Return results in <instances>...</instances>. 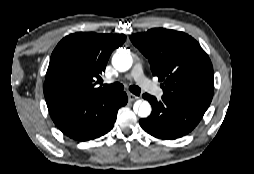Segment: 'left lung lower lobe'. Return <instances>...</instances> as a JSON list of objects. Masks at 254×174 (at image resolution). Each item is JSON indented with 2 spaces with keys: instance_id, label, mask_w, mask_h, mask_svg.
Returning <instances> with one entry per match:
<instances>
[{
  "instance_id": "obj_1",
  "label": "left lung lower lobe",
  "mask_w": 254,
  "mask_h": 174,
  "mask_svg": "<svg viewBox=\"0 0 254 174\" xmlns=\"http://www.w3.org/2000/svg\"><path fill=\"white\" fill-rule=\"evenodd\" d=\"M152 105L148 118L139 121L140 126L150 135L163 140H174L191 132L202 119L206 110L191 104L173 102L162 96L144 94Z\"/></svg>"
}]
</instances>
